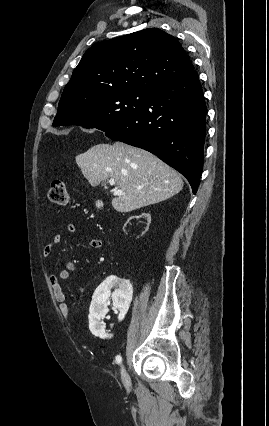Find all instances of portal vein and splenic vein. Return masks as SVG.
<instances>
[{"label":"portal vein and splenic vein","instance_id":"18ae733b","mask_svg":"<svg viewBox=\"0 0 269 426\" xmlns=\"http://www.w3.org/2000/svg\"><path fill=\"white\" fill-rule=\"evenodd\" d=\"M109 184L111 185V186H113V185H115V180L114 179H110L109 180ZM125 193L123 192V190H121V189H117V190H115L114 191V195H118V196H121V195H124Z\"/></svg>","mask_w":269,"mask_h":426}]
</instances>
